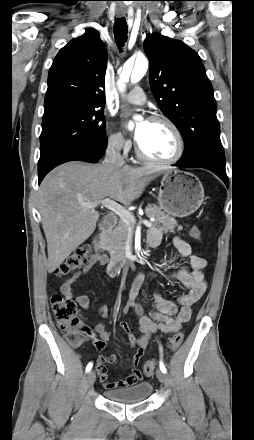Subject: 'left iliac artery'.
Returning a JSON list of instances; mask_svg holds the SVG:
<instances>
[{
    "mask_svg": "<svg viewBox=\"0 0 254 440\" xmlns=\"http://www.w3.org/2000/svg\"><path fill=\"white\" fill-rule=\"evenodd\" d=\"M159 367H160V370H161L163 373H166V372H167L166 367H165V365H164V363H163L162 360H160V365H159Z\"/></svg>",
    "mask_w": 254,
    "mask_h": 440,
    "instance_id": "44dca946",
    "label": "left iliac artery"
}]
</instances>
